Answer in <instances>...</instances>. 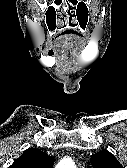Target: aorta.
<instances>
[{"instance_id":"762f6f07","label":"aorta","mask_w":127,"mask_h":168,"mask_svg":"<svg viewBox=\"0 0 127 168\" xmlns=\"http://www.w3.org/2000/svg\"><path fill=\"white\" fill-rule=\"evenodd\" d=\"M56 168H76L75 164L70 159H64L58 165Z\"/></svg>"}]
</instances>
